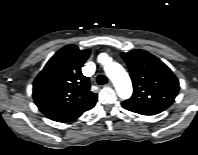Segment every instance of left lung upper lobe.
<instances>
[{"label":"left lung upper lobe","instance_id":"5c2ea615","mask_svg":"<svg viewBox=\"0 0 198 155\" xmlns=\"http://www.w3.org/2000/svg\"><path fill=\"white\" fill-rule=\"evenodd\" d=\"M133 82L134 92L122 106L141 115H155L167 109L179 91L172 71L157 57L144 51L122 53Z\"/></svg>","mask_w":198,"mask_h":155}]
</instances>
